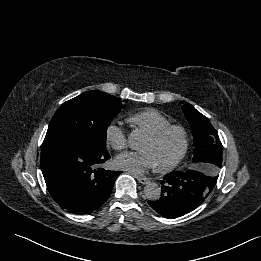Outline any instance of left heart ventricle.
<instances>
[{
	"label": "left heart ventricle",
	"mask_w": 261,
	"mask_h": 261,
	"mask_svg": "<svg viewBox=\"0 0 261 261\" xmlns=\"http://www.w3.org/2000/svg\"><path fill=\"white\" fill-rule=\"evenodd\" d=\"M181 146V137L178 133L174 132L160 142H153L147 138L141 150L151 152L156 160L157 166H161L172 161L178 155Z\"/></svg>",
	"instance_id": "1"
}]
</instances>
